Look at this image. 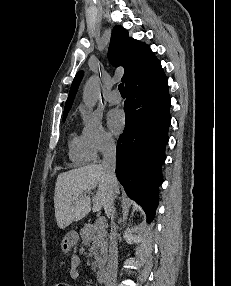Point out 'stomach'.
Returning a JSON list of instances; mask_svg holds the SVG:
<instances>
[{
  "mask_svg": "<svg viewBox=\"0 0 231 286\" xmlns=\"http://www.w3.org/2000/svg\"><path fill=\"white\" fill-rule=\"evenodd\" d=\"M78 234L75 231L68 232L62 240L61 249L64 253H68L78 242Z\"/></svg>",
  "mask_w": 231,
  "mask_h": 286,
  "instance_id": "0dacf381",
  "label": "stomach"
}]
</instances>
